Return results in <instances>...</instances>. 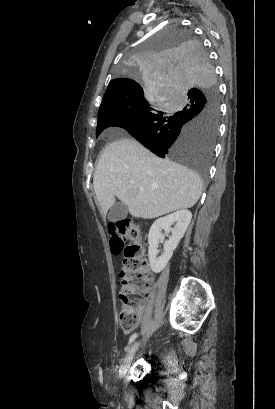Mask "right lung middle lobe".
<instances>
[{
  "label": "right lung middle lobe",
  "mask_w": 275,
  "mask_h": 409,
  "mask_svg": "<svg viewBox=\"0 0 275 409\" xmlns=\"http://www.w3.org/2000/svg\"><path fill=\"white\" fill-rule=\"evenodd\" d=\"M116 73L140 79L144 96L127 98L98 113L96 136L124 128L151 152L209 177L217 137V84L208 50L193 31L166 24L126 50ZM203 187L202 183L198 184Z\"/></svg>",
  "instance_id": "1"
}]
</instances>
